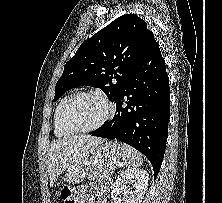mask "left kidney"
Here are the masks:
<instances>
[{
	"instance_id": "1",
	"label": "left kidney",
	"mask_w": 222,
	"mask_h": 203,
	"mask_svg": "<svg viewBox=\"0 0 222 203\" xmlns=\"http://www.w3.org/2000/svg\"><path fill=\"white\" fill-rule=\"evenodd\" d=\"M148 180L149 175L144 169L123 171L112 186L111 203H141Z\"/></svg>"
}]
</instances>
